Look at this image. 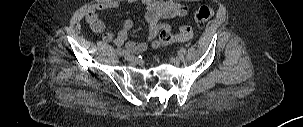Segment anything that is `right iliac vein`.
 <instances>
[{
	"label": "right iliac vein",
	"instance_id": "63e3f726",
	"mask_svg": "<svg viewBox=\"0 0 303 127\" xmlns=\"http://www.w3.org/2000/svg\"><path fill=\"white\" fill-rule=\"evenodd\" d=\"M125 59L129 62H135L136 61V57H134L133 55H130V54H125Z\"/></svg>",
	"mask_w": 303,
	"mask_h": 127
}]
</instances>
